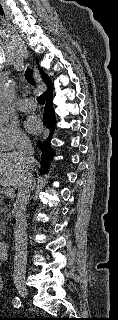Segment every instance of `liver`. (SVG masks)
Segmentation results:
<instances>
[{"mask_svg": "<svg viewBox=\"0 0 118 320\" xmlns=\"http://www.w3.org/2000/svg\"><path fill=\"white\" fill-rule=\"evenodd\" d=\"M34 165L35 164H33V167ZM23 170L24 163L19 159L17 152L0 154L1 185L18 188Z\"/></svg>", "mask_w": 118, "mask_h": 320, "instance_id": "6515ba94", "label": "liver"}]
</instances>
